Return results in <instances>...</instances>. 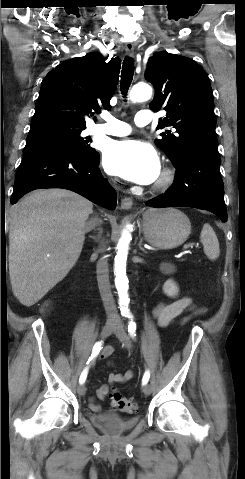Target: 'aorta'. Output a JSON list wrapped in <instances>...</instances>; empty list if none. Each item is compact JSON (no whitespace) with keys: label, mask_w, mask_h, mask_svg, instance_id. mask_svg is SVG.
<instances>
[{"label":"aorta","mask_w":245,"mask_h":479,"mask_svg":"<svg viewBox=\"0 0 245 479\" xmlns=\"http://www.w3.org/2000/svg\"><path fill=\"white\" fill-rule=\"evenodd\" d=\"M152 96V88L147 84H137L130 92V100L133 102H142L150 99ZM131 239L130 233L125 230L118 242V252L115 256L114 273L115 286L119 296V305L122 314H128V278L126 276V261Z\"/></svg>","instance_id":"obj_1"}]
</instances>
